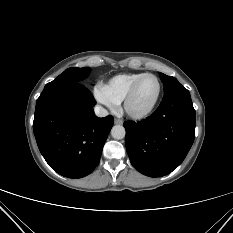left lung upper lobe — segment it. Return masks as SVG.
Segmentation results:
<instances>
[{
	"instance_id": "1",
	"label": "left lung upper lobe",
	"mask_w": 233,
	"mask_h": 233,
	"mask_svg": "<svg viewBox=\"0 0 233 233\" xmlns=\"http://www.w3.org/2000/svg\"><path fill=\"white\" fill-rule=\"evenodd\" d=\"M159 76L161 78V81L164 84V96L163 97H168V96H171L179 92L188 91L178 82L176 78L172 76H167L163 73H159Z\"/></svg>"
}]
</instances>
